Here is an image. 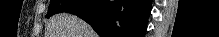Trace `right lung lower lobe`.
Segmentation results:
<instances>
[{"instance_id": "1", "label": "right lung lower lobe", "mask_w": 219, "mask_h": 37, "mask_svg": "<svg viewBox=\"0 0 219 37\" xmlns=\"http://www.w3.org/2000/svg\"><path fill=\"white\" fill-rule=\"evenodd\" d=\"M151 0H80L64 12L75 14L100 37H143Z\"/></svg>"}]
</instances>
